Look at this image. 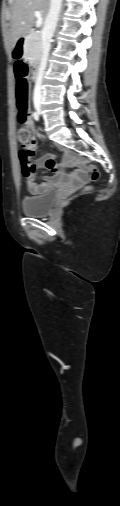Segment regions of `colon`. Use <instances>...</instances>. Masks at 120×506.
I'll return each instance as SVG.
<instances>
[{
	"label": "colon",
	"mask_w": 120,
	"mask_h": 506,
	"mask_svg": "<svg viewBox=\"0 0 120 506\" xmlns=\"http://www.w3.org/2000/svg\"><path fill=\"white\" fill-rule=\"evenodd\" d=\"M14 49L11 52V57L15 60V63L18 65L16 70L14 71V78L16 79V106H17V115L20 122L27 125L29 121V111H28V96H29V82L27 80V67L25 66L28 63V56L26 55L24 58H16L14 56ZM17 139L19 144L22 147L21 156L23 159L27 161H31V158L34 154V150L36 148V142L30 132V130L24 126L19 129L17 132ZM81 169L88 172L90 174V178L92 181H97L99 179L100 173L96 166L90 163L80 162Z\"/></svg>",
	"instance_id": "1"
}]
</instances>
